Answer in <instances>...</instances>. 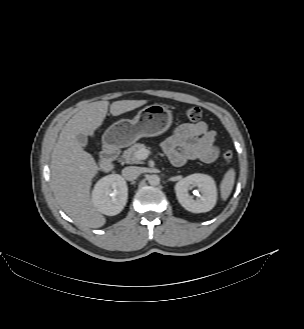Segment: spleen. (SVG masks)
<instances>
[{
	"mask_svg": "<svg viewBox=\"0 0 304 329\" xmlns=\"http://www.w3.org/2000/svg\"><path fill=\"white\" fill-rule=\"evenodd\" d=\"M235 170L233 168H230L224 175L221 185H220V191H221V198L223 200H226L229 195L231 194V191L234 186L235 182Z\"/></svg>",
	"mask_w": 304,
	"mask_h": 329,
	"instance_id": "spleen-1",
	"label": "spleen"
}]
</instances>
